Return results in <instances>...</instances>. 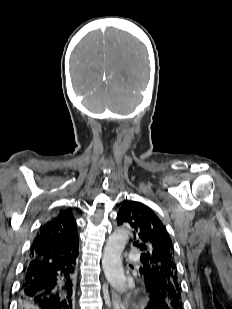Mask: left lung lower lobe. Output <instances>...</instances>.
<instances>
[{
	"instance_id": "obj_1",
	"label": "left lung lower lobe",
	"mask_w": 232,
	"mask_h": 309,
	"mask_svg": "<svg viewBox=\"0 0 232 309\" xmlns=\"http://www.w3.org/2000/svg\"><path fill=\"white\" fill-rule=\"evenodd\" d=\"M149 293V301L145 309H182V303L169 301L151 282L144 280Z\"/></svg>"
}]
</instances>
